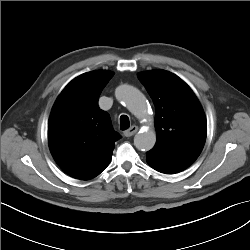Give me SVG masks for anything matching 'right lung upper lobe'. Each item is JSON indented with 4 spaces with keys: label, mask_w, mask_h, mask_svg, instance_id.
Returning a JSON list of instances; mask_svg holds the SVG:
<instances>
[{
    "label": "right lung upper lobe",
    "mask_w": 250,
    "mask_h": 250,
    "mask_svg": "<svg viewBox=\"0 0 250 250\" xmlns=\"http://www.w3.org/2000/svg\"><path fill=\"white\" fill-rule=\"evenodd\" d=\"M113 73H84L58 96L48 122V143L56 163L70 176L83 180L111 160L121 136L98 99Z\"/></svg>",
    "instance_id": "1"
}]
</instances>
